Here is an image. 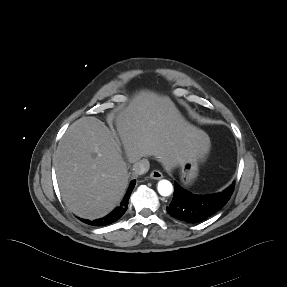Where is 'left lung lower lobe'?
<instances>
[{"instance_id":"obj_1","label":"left lung lower lobe","mask_w":287,"mask_h":287,"mask_svg":"<svg viewBox=\"0 0 287 287\" xmlns=\"http://www.w3.org/2000/svg\"><path fill=\"white\" fill-rule=\"evenodd\" d=\"M235 183L223 192L213 195H194L175 183L172 202L168 213L181 221L198 223L220 210L230 199Z\"/></svg>"}]
</instances>
